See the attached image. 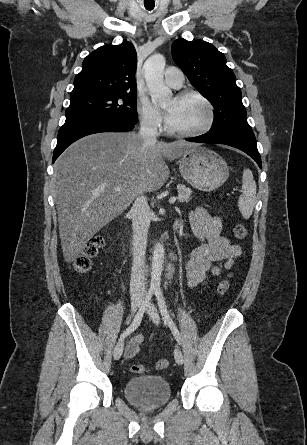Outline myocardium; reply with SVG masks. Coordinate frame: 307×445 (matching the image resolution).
<instances>
[{"label":"myocardium","instance_id":"obj_1","mask_svg":"<svg viewBox=\"0 0 307 445\" xmlns=\"http://www.w3.org/2000/svg\"><path fill=\"white\" fill-rule=\"evenodd\" d=\"M178 98H180V99H196V100L200 101L207 108L208 119L202 127L198 128L194 131L176 130L170 125L169 120H167L166 121V130L169 133L177 135V136L191 138V139H198L199 137L207 134L214 128V126L217 122V111H216L214 104L208 98H206L203 94L196 92V91L183 92L178 96Z\"/></svg>","mask_w":307,"mask_h":445}]
</instances>
